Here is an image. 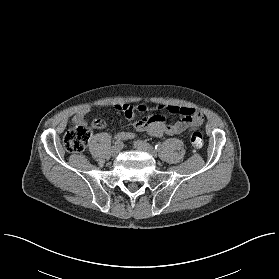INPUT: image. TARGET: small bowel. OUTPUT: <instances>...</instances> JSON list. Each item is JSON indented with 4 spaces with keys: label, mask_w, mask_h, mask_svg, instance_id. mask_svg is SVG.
<instances>
[{
    "label": "small bowel",
    "mask_w": 279,
    "mask_h": 279,
    "mask_svg": "<svg viewBox=\"0 0 279 279\" xmlns=\"http://www.w3.org/2000/svg\"><path fill=\"white\" fill-rule=\"evenodd\" d=\"M137 107L139 109L137 112L139 113L145 114L149 112V108L144 104H140ZM116 108L122 112L127 119L133 121V129L135 132H147L157 137L181 134L190 129L198 128L204 122L202 112L192 108L174 105L166 106L159 104L157 106L159 110H166L169 114L179 115V119L173 124H169L167 122V115L162 113L149 114L140 120L134 121L135 112L133 111V106L119 104L116 105ZM88 112V107L82 108L73 116L72 122L74 124L80 122L86 123L85 116ZM92 125L96 129H102L105 127L106 122L103 119L97 118L92 122ZM135 132L122 131L119 132L116 137L123 141L133 139L136 135Z\"/></svg>",
    "instance_id": "1"
}]
</instances>
